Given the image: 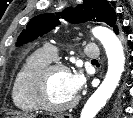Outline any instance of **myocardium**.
Here are the masks:
<instances>
[{"mask_svg": "<svg viewBox=\"0 0 133 118\" xmlns=\"http://www.w3.org/2000/svg\"><path fill=\"white\" fill-rule=\"evenodd\" d=\"M55 70L69 72V68L61 62H51L39 70L32 80V96L39 108L48 112H66L72 109L77 103V97L63 105L52 104L47 98V84L49 77Z\"/></svg>", "mask_w": 133, "mask_h": 118, "instance_id": "obj_1", "label": "myocardium"}]
</instances>
